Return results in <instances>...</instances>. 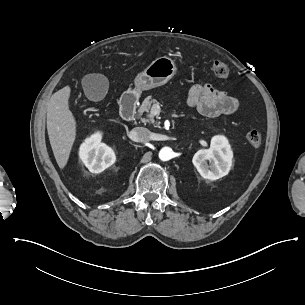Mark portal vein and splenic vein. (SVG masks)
Here are the masks:
<instances>
[{
    "label": "portal vein and splenic vein",
    "instance_id": "obj_1",
    "mask_svg": "<svg viewBox=\"0 0 305 305\" xmlns=\"http://www.w3.org/2000/svg\"><path fill=\"white\" fill-rule=\"evenodd\" d=\"M151 112L153 113H159L160 112V106L158 104H154L152 106Z\"/></svg>",
    "mask_w": 305,
    "mask_h": 305
}]
</instances>
